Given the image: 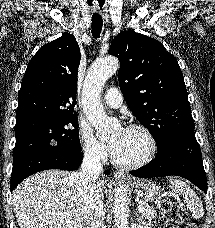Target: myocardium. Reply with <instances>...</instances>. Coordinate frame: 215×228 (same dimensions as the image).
I'll return each instance as SVG.
<instances>
[{"label":"myocardium","instance_id":"obj_1","mask_svg":"<svg viewBox=\"0 0 215 228\" xmlns=\"http://www.w3.org/2000/svg\"><path fill=\"white\" fill-rule=\"evenodd\" d=\"M126 130L141 131L144 134L146 141H147V150L140 159H138L134 162L126 163V162L118 161L114 157L113 153H111V161H112L113 165L119 169L134 170V169H137V168H140V167L146 165L153 159V157L156 154V150H157L156 140H155V137H154L153 133L151 132V130L143 124H139V123L130 124L126 128Z\"/></svg>","mask_w":215,"mask_h":228}]
</instances>
